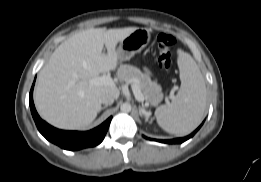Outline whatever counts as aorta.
<instances>
[{
  "label": "aorta",
  "mask_w": 261,
  "mask_h": 182,
  "mask_svg": "<svg viewBox=\"0 0 261 182\" xmlns=\"http://www.w3.org/2000/svg\"><path fill=\"white\" fill-rule=\"evenodd\" d=\"M120 110L123 113H129L132 110V106L130 103L125 102L121 105Z\"/></svg>",
  "instance_id": "aorta-1"
}]
</instances>
